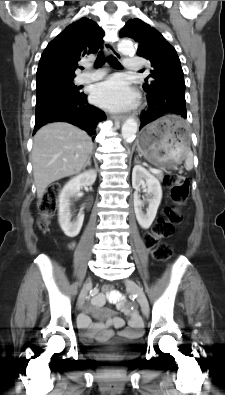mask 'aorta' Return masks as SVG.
<instances>
[{
	"mask_svg": "<svg viewBox=\"0 0 225 395\" xmlns=\"http://www.w3.org/2000/svg\"><path fill=\"white\" fill-rule=\"evenodd\" d=\"M118 50L124 55H133L136 49L129 40H122L118 43ZM138 130L137 121L134 118H128L122 125V138L125 141H131L135 138Z\"/></svg>",
	"mask_w": 225,
	"mask_h": 395,
	"instance_id": "obj_1",
	"label": "aorta"
}]
</instances>
